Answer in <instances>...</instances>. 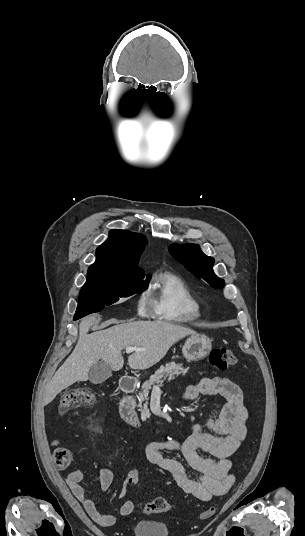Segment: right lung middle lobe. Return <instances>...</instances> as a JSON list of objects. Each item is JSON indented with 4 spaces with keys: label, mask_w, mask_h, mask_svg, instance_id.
Returning <instances> with one entry per match:
<instances>
[{
    "label": "right lung middle lobe",
    "mask_w": 305,
    "mask_h": 536,
    "mask_svg": "<svg viewBox=\"0 0 305 536\" xmlns=\"http://www.w3.org/2000/svg\"><path fill=\"white\" fill-rule=\"evenodd\" d=\"M150 277L137 279H89L82 287L74 317L82 318L101 311L120 298L142 293L147 289Z\"/></svg>",
    "instance_id": "obj_1"
}]
</instances>
